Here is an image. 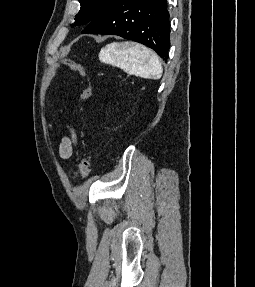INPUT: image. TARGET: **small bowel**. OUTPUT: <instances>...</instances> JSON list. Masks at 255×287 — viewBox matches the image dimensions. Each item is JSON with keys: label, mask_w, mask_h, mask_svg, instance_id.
Returning <instances> with one entry per match:
<instances>
[{"label": "small bowel", "mask_w": 255, "mask_h": 287, "mask_svg": "<svg viewBox=\"0 0 255 287\" xmlns=\"http://www.w3.org/2000/svg\"><path fill=\"white\" fill-rule=\"evenodd\" d=\"M77 144V138L74 130L71 131L70 135L63 136L59 144L58 154L63 160L69 159L74 151Z\"/></svg>", "instance_id": "obj_1"}]
</instances>
